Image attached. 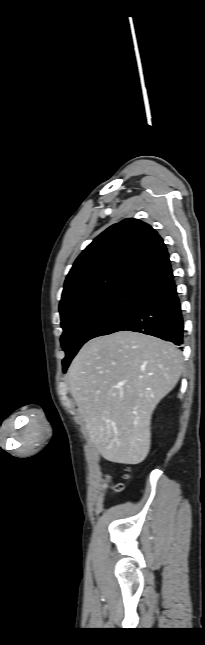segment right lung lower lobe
I'll return each mask as SVG.
<instances>
[{"instance_id": "1", "label": "right lung lower lobe", "mask_w": 205, "mask_h": 645, "mask_svg": "<svg viewBox=\"0 0 205 645\" xmlns=\"http://www.w3.org/2000/svg\"><path fill=\"white\" fill-rule=\"evenodd\" d=\"M183 327L181 305L170 269L143 286V294L136 304L101 335L128 330L181 345Z\"/></svg>"}]
</instances>
